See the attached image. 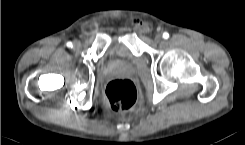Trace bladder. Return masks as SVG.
<instances>
[{"label": "bladder", "mask_w": 245, "mask_h": 145, "mask_svg": "<svg viewBox=\"0 0 245 145\" xmlns=\"http://www.w3.org/2000/svg\"><path fill=\"white\" fill-rule=\"evenodd\" d=\"M108 56L111 58H122L127 61H133V55L124 43L113 44L109 48Z\"/></svg>", "instance_id": "bladder-1"}]
</instances>
